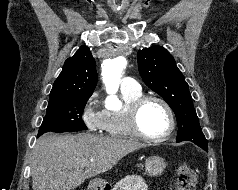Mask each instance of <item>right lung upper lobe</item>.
<instances>
[{"label": "right lung upper lobe", "mask_w": 238, "mask_h": 190, "mask_svg": "<svg viewBox=\"0 0 238 190\" xmlns=\"http://www.w3.org/2000/svg\"><path fill=\"white\" fill-rule=\"evenodd\" d=\"M97 85L96 63L87 46H81L68 58L55 80L50 100L73 95H91Z\"/></svg>", "instance_id": "right-lung-upper-lobe-1"}]
</instances>
